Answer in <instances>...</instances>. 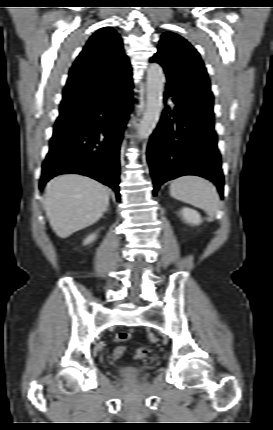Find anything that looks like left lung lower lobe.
Here are the masks:
<instances>
[{"label":"left lung lower lobe","mask_w":273,"mask_h":430,"mask_svg":"<svg viewBox=\"0 0 273 430\" xmlns=\"http://www.w3.org/2000/svg\"><path fill=\"white\" fill-rule=\"evenodd\" d=\"M165 96L171 97L175 108L165 107L147 148L153 194L156 196L159 187L168 180L197 175L214 182L222 196L224 178L214 120L197 115L167 89Z\"/></svg>","instance_id":"obj_1"}]
</instances>
